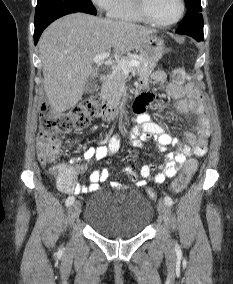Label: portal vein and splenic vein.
I'll use <instances>...</instances> for the list:
<instances>
[{"label": "portal vein and splenic vein", "mask_w": 233, "mask_h": 284, "mask_svg": "<svg viewBox=\"0 0 233 284\" xmlns=\"http://www.w3.org/2000/svg\"><path fill=\"white\" fill-rule=\"evenodd\" d=\"M110 56V51L98 54L94 57L93 61L96 64H105L107 66L112 65L114 63L113 60L108 59ZM140 65L139 61L137 60H131V61H126L123 60L120 62V66L123 69V71L128 72L132 67H138Z\"/></svg>", "instance_id": "1"}]
</instances>
